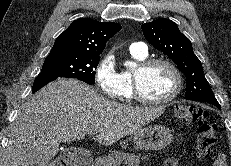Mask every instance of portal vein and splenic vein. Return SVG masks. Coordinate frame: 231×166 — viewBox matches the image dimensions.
Wrapping results in <instances>:
<instances>
[{"mask_svg": "<svg viewBox=\"0 0 231 166\" xmlns=\"http://www.w3.org/2000/svg\"><path fill=\"white\" fill-rule=\"evenodd\" d=\"M96 132L95 131H91L89 134L92 135V134H95Z\"/></svg>", "mask_w": 231, "mask_h": 166, "instance_id": "portal-vein-and-splenic-vein-1", "label": "portal vein and splenic vein"}]
</instances>
